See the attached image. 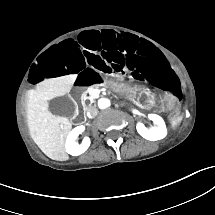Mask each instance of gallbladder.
<instances>
[{"label": "gallbladder", "instance_id": "obj_1", "mask_svg": "<svg viewBox=\"0 0 215 215\" xmlns=\"http://www.w3.org/2000/svg\"><path fill=\"white\" fill-rule=\"evenodd\" d=\"M48 111L56 116L72 118L76 112V104L67 96H54L48 100Z\"/></svg>", "mask_w": 215, "mask_h": 215}]
</instances>
